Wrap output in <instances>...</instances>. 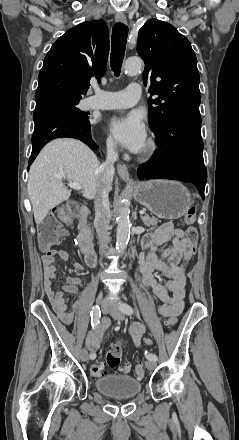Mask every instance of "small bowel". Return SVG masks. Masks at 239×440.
Returning <instances> with one entry per match:
<instances>
[{"label": "small bowel", "instance_id": "obj_1", "mask_svg": "<svg viewBox=\"0 0 239 440\" xmlns=\"http://www.w3.org/2000/svg\"><path fill=\"white\" fill-rule=\"evenodd\" d=\"M160 255L158 249L165 245ZM142 248L147 253L140 256V270L142 283L150 287L155 296L163 304L159 312L165 317L177 316L184 308V297L186 289V273L189 262L195 253V244H192L185 232L171 223L158 227L153 233L146 234L142 239ZM42 263L44 268V288L58 314L65 324L73 321V311L67 309V300L64 293H77L82 283L78 278L67 276L66 285L56 291L53 280L57 277L58 269L55 265L56 258L67 261L69 252L65 249L48 248L42 249ZM74 268L83 270V265L75 261ZM161 272L166 280L157 278L154 273ZM110 327V319L103 318L101 323L89 331L86 338V347L95 352L100 348L102 340ZM145 326L141 323H134L130 326V337L134 345L141 346L144 341ZM150 343V341L145 340Z\"/></svg>", "mask_w": 239, "mask_h": 440}]
</instances>
